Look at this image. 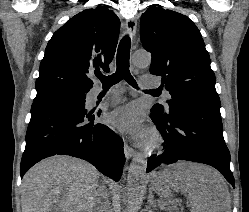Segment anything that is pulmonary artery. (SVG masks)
<instances>
[{"label":"pulmonary artery","mask_w":249,"mask_h":212,"mask_svg":"<svg viewBox=\"0 0 249 212\" xmlns=\"http://www.w3.org/2000/svg\"><path fill=\"white\" fill-rule=\"evenodd\" d=\"M143 87L148 89H153L158 87V84H148V85H143ZM102 91H103L102 86L99 83L95 84V86L92 88L90 92L91 99H95ZM111 93H113V91H111ZM163 97L165 99H169L170 93L167 90H164Z\"/></svg>","instance_id":"pulmonary-artery-1"}]
</instances>
